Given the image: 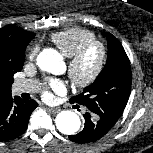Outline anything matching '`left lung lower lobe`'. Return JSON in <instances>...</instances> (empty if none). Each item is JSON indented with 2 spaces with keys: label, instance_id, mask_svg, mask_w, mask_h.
I'll use <instances>...</instances> for the list:
<instances>
[{
  "label": "left lung lower lobe",
  "instance_id": "left-lung-lower-lobe-1",
  "mask_svg": "<svg viewBox=\"0 0 153 153\" xmlns=\"http://www.w3.org/2000/svg\"><path fill=\"white\" fill-rule=\"evenodd\" d=\"M85 125L81 132L69 136V139L76 143H91L99 140L112 128L104 119L97 117L88 111L83 115Z\"/></svg>",
  "mask_w": 153,
  "mask_h": 153
}]
</instances>
